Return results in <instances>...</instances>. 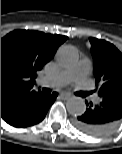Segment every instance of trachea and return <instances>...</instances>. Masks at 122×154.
<instances>
[{
    "label": "trachea",
    "instance_id": "trachea-1",
    "mask_svg": "<svg viewBox=\"0 0 122 154\" xmlns=\"http://www.w3.org/2000/svg\"><path fill=\"white\" fill-rule=\"evenodd\" d=\"M42 90H43V92H45V93H48V94L51 93V89H49V88H43Z\"/></svg>",
    "mask_w": 122,
    "mask_h": 154
}]
</instances>
